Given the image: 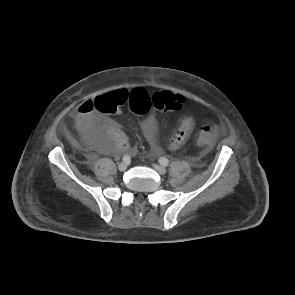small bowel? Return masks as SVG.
<instances>
[{
	"label": "small bowel",
	"instance_id": "1",
	"mask_svg": "<svg viewBox=\"0 0 295 295\" xmlns=\"http://www.w3.org/2000/svg\"><path fill=\"white\" fill-rule=\"evenodd\" d=\"M93 101H84L72 113V117L83 139L95 150L106 154L125 152L135 155L136 149L130 146L125 134L114 121L98 113L93 106ZM141 125L151 147L150 154H160L161 147L157 142L155 118L150 115L143 119ZM194 125V116L192 114L185 115L170 139L169 147L171 150L177 151L185 145Z\"/></svg>",
	"mask_w": 295,
	"mask_h": 295
}]
</instances>
